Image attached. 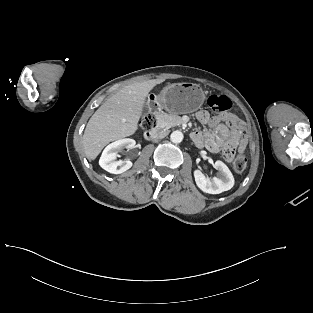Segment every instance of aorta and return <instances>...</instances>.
Masks as SVG:
<instances>
[{
    "mask_svg": "<svg viewBox=\"0 0 313 313\" xmlns=\"http://www.w3.org/2000/svg\"><path fill=\"white\" fill-rule=\"evenodd\" d=\"M183 133L179 130L173 131L170 135V139L173 143H180L183 140Z\"/></svg>",
    "mask_w": 313,
    "mask_h": 313,
    "instance_id": "aorta-1",
    "label": "aorta"
}]
</instances>
